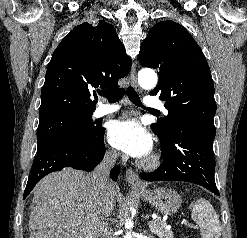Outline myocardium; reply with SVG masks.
I'll use <instances>...</instances> for the list:
<instances>
[{
    "label": "myocardium",
    "instance_id": "f54148a6",
    "mask_svg": "<svg viewBox=\"0 0 247 238\" xmlns=\"http://www.w3.org/2000/svg\"><path fill=\"white\" fill-rule=\"evenodd\" d=\"M141 167L146 170H154L160 165V158L157 154H152L145 158L141 163Z\"/></svg>",
    "mask_w": 247,
    "mask_h": 238
}]
</instances>
